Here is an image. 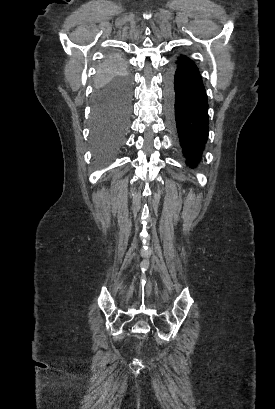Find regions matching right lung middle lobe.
I'll return each instance as SVG.
<instances>
[{
	"label": "right lung middle lobe",
	"mask_w": 275,
	"mask_h": 409,
	"mask_svg": "<svg viewBox=\"0 0 275 409\" xmlns=\"http://www.w3.org/2000/svg\"><path fill=\"white\" fill-rule=\"evenodd\" d=\"M94 89L91 145L96 160L106 162L123 147L130 119L131 75L116 52L105 54Z\"/></svg>",
	"instance_id": "obj_1"
}]
</instances>
